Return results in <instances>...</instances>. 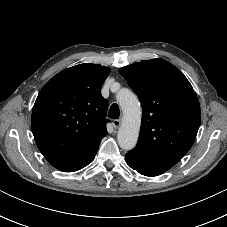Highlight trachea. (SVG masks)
<instances>
[{
    "instance_id": "obj_1",
    "label": "trachea",
    "mask_w": 227,
    "mask_h": 227,
    "mask_svg": "<svg viewBox=\"0 0 227 227\" xmlns=\"http://www.w3.org/2000/svg\"><path fill=\"white\" fill-rule=\"evenodd\" d=\"M120 116V110L116 103H113L110 107L108 117L111 119H118Z\"/></svg>"
}]
</instances>
